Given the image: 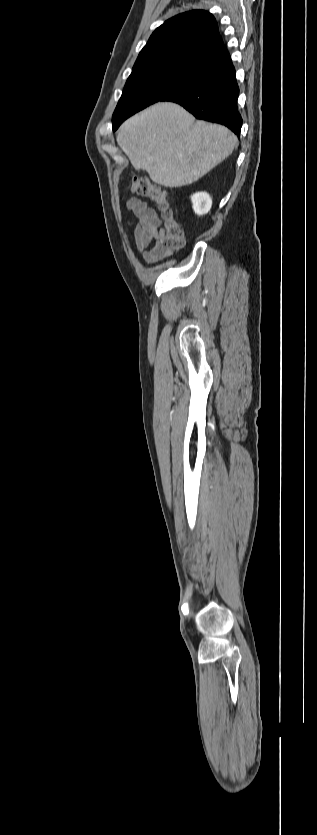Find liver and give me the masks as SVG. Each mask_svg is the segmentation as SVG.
I'll return each mask as SVG.
<instances>
[{
    "label": "liver",
    "instance_id": "obj_1",
    "mask_svg": "<svg viewBox=\"0 0 317 835\" xmlns=\"http://www.w3.org/2000/svg\"><path fill=\"white\" fill-rule=\"evenodd\" d=\"M117 143L153 182L180 187L227 158L237 137L224 126L195 121L180 105L159 102L126 120Z\"/></svg>",
    "mask_w": 317,
    "mask_h": 835
}]
</instances>
